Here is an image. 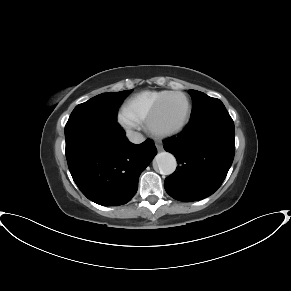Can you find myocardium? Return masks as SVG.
I'll use <instances>...</instances> for the list:
<instances>
[{
  "mask_svg": "<svg viewBox=\"0 0 291 291\" xmlns=\"http://www.w3.org/2000/svg\"><path fill=\"white\" fill-rule=\"evenodd\" d=\"M173 95H181L185 98L186 104H187V115H186V118L183 121V123L180 124L178 127L164 129V128L159 127L157 124L158 116L160 114L161 108H162L163 104L165 103V101ZM192 113H193V107H192V103H191V100L188 97V95L184 92H181V91H170L158 100V102L156 103V105L154 106L152 111L150 112V114L146 120L147 127H148L149 131L156 136H159V137L174 136V135H177V134L183 132L186 129V127L189 125V123L192 119Z\"/></svg>",
  "mask_w": 291,
  "mask_h": 291,
  "instance_id": "f54148a6",
  "label": "myocardium"
}]
</instances>
